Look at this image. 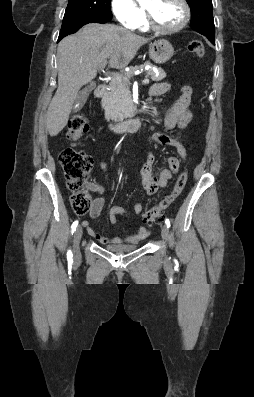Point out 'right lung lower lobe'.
Segmentation results:
<instances>
[{"label": "right lung lower lobe", "mask_w": 254, "mask_h": 397, "mask_svg": "<svg viewBox=\"0 0 254 397\" xmlns=\"http://www.w3.org/2000/svg\"><path fill=\"white\" fill-rule=\"evenodd\" d=\"M111 18L106 19H93L90 17L84 16H64L61 31L59 34L58 42L68 34L75 33L78 29H80L83 25L88 23H106Z\"/></svg>", "instance_id": "right-lung-lower-lobe-1"}]
</instances>
